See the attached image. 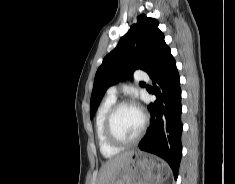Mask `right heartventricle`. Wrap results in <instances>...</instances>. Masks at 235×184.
<instances>
[{
    "instance_id": "e07e8e85",
    "label": "right heart ventricle",
    "mask_w": 235,
    "mask_h": 184,
    "mask_svg": "<svg viewBox=\"0 0 235 184\" xmlns=\"http://www.w3.org/2000/svg\"><path fill=\"white\" fill-rule=\"evenodd\" d=\"M116 98L106 97L99 105L95 117L94 133L98 146L105 157L111 158L119 153L120 148L113 146L105 135V119Z\"/></svg>"
}]
</instances>
